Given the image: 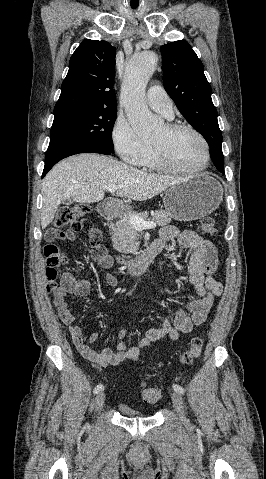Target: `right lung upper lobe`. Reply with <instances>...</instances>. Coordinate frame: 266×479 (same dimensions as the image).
I'll use <instances>...</instances> for the list:
<instances>
[{
    "label": "right lung upper lobe",
    "instance_id": "cb5924a9",
    "mask_svg": "<svg viewBox=\"0 0 266 479\" xmlns=\"http://www.w3.org/2000/svg\"><path fill=\"white\" fill-rule=\"evenodd\" d=\"M116 51L110 43L86 39L70 58L54 113L117 110L113 90Z\"/></svg>",
    "mask_w": 266,
    "mask_h": 479
}]
</instances>
